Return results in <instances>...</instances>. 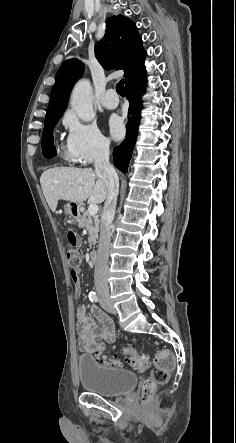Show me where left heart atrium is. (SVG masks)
<instances>
[{"label": "left heart atrium", "mask_w": 236, "mask_h": 443, "mask_svg": "<svg viewBox=\"0 0 236 443\" xmlns=\"http://www.w3.org/2000/svg\"><path fill=\"white\" fill-rule=\"evenodd\" d=\"M107 125L110 131V134L113 138H120L124 133V125L122 120L116 116L112 115L107 120Z\"/></svg>", "instance_id": "1"}]
</instances>
